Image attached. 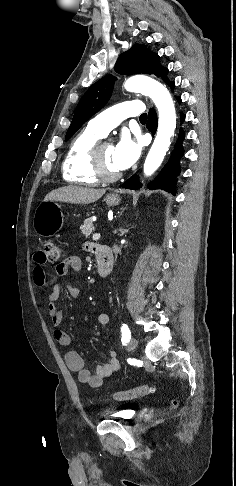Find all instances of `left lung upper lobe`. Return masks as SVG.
Instances as JSON below:
<instances>
[{
	"instance_id": "1",
	"label": "left lung upper lobe",
	"mask_w": 236,
	"mask_h": 486,
	"mask_svg": "<svg viewBox=\"0 0 236 486\" xmlns=\"http://www.w3.org/2000/svg\"><path fill=\"white\" fill-rule=\"evenodd\" d=\"M158 54L150 51L145 45L135 44L120 55L115 70L120 74H154L163 81L168 80V69L159 62ZM114 86V77L107 75L94 83L83 95L76 108L73 120L67 131V141L90 117L97 113L108 102Z\"/></svg>"
}]
</instances>
